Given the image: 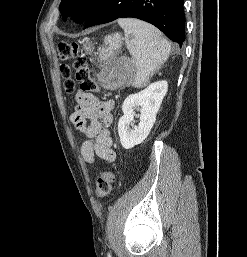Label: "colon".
Segmentation results:
<instances>
[{"mask_svg":"<svg viewBox=\"0 0 247 257\" xmlns=\"http://www.w3.org/2000/svg\"><path fill=\"white\" fill-rule=\"evenodd\" d=\"M58 58L61 62L60 70L65 78L64 88L68 93L75 90V81L71 78V67L69 62L73 61L76 80L80 89L84 92H98L99 87L96 81L91 77L90 69L86 63L77 43H60L57 47ZM115 182V175L112 171H104L96 183V195L100 198L108 196Z\"/></svg>","mask_w":247,"mask_h":257,"instance_id":"obj_1","label":"colon"}]
</instances>
